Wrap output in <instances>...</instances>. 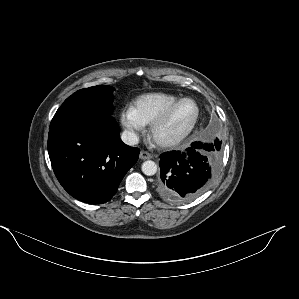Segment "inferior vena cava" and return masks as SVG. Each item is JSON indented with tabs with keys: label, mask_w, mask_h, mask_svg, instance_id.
<instances>
[{
	"label": "inferior vena cava",
	"mask_w": 299,
	"mask_h": 299,
	"mask_svg": "<svg viewBox=\"0 0 299 299\" xmlns=\"http://www.w3.org/2000/svg\"><path fill=\"white\" fill-rule=\"evenodd\" d=\"M121 139L125 144L130 145V146L136 145L139 143V137L133 131H128V130L123 131V133L121 135Z\"/></svg>",
	"instance_id": "obj_1"
}]
</instances>
